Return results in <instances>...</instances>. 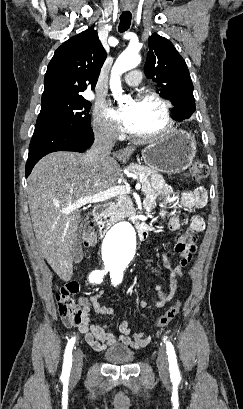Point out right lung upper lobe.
<instances>
[{"label":"right lung upper lobe","instance_id":"obj_1","mask_svg":"<svg viewBox=\"0 0 243 409\" xmlns=\"http://www.w3.org/2000/svg\"><path fill=\"white\" fill-rule=\"evenodd\" d=\"M105 59L94 29L71 37L55 51L47 67L42 101L81 96L89 86L94 89Z\"/></svg>","mask_w":243,"mask_h":409}]
</instances>
